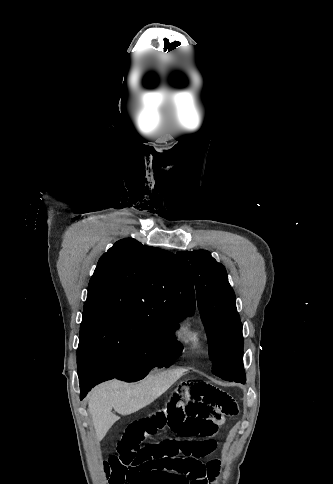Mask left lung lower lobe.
<instances>
[{
  "mask_svg": "<svg viewBox=\"0 0 333 484\" xmlns=\"http://www.w3.org/2000/svg\"><path fill=\"white\" fill-rule=\"evenodd\" d=\"M238 362L243 367V363H242L243 362V356L242 355L239 356ZM241 382L244 383L245 381H241Z\"/></svg>",
  "mask_w": 333,
  "mask_h": 484,
  "instance_id": "0a47b994",
  "label": "left lung lower lobe"
}]
</instances>
